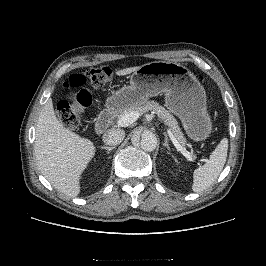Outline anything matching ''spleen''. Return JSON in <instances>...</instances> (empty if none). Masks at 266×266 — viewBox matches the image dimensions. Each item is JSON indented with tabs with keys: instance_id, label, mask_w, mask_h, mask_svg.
<instances>
[{
	"instance_id": "3e777b00",
	"label": "spleen",
	"mask_w": 266,
	"mask_h": 266,
	"mask_svg": "<svg viewBox=\"0 0 266 266\" xmlns=\"http://www.w3.org/2000/svg\"><path fill=\"white\" fill-rule=\"evenodd\" d=\"M228 140L223 138L211 153L209 160L193 172L192 190L196 193L208 189L220 175L227 158Z\"/></svg>"
}]
</instances>
